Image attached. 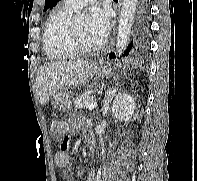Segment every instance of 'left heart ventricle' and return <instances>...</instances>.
I'll list each match as a JSON object with an SVG mask.
<instances>
[{
    "instance_id": "b2bd125f",
    "label": "left heart ventricle",
    "mask_w": 197,
    "mask_h": 181,
    "mask_svg": "<svg viewBox=\"0 0 197 181\" xmlns=\"http://www.w3.org/2000/svg\"><path fill=\"white\" fill-rule=\"evenodd\" d=\"M80 42L86 47H94L100 42L97 41L87 29V22L82 21L74 24Z\"/></svg>"
}]
</instances>
